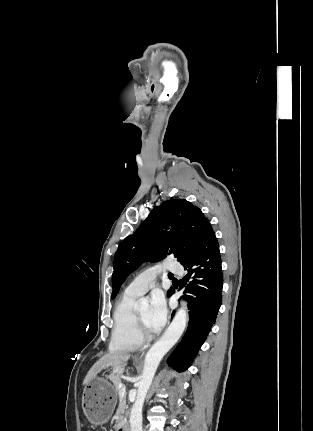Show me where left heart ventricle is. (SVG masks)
Wrapping results in <instances>:
<instances>
[{
    "label": "left heart ventricle",
    "mask_w": 313,
    "mask_h": 431,
    "mask_svg": "<svg viewBox=\"0 0 313 431\" xmlns=\"http://www.w3.org/2000/svg\"><path fill=\"white\" fill-rule=\"evenodd\" d=\"M139 315L141 316V319L145 325V328L148 332H152L150 326H149V316H150V308L148 306L141 308L139 311Z\"/></svg>",
    "instance_id": "left-heart-ventricle-1"
}]
</instances>
